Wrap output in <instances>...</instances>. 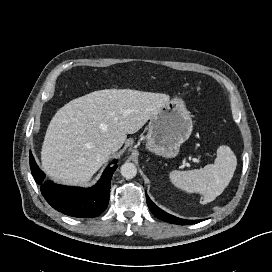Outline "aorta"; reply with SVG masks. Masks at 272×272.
<instances>
[{
    "instance_id": "1",
    "label": "aorta",
    "mask_w": 272,
    "mask_h": 272,
    "mask_svg": "<svg viewBox=\"0 0 272 272\" xmlns=\"http://www.w3.org/2000/svg\"><path fill=\"white\" fill-rule=\"evenodd\" d=\"M137 174V168L133 163H124L121 166V175L126 179H132Z\"/></svg>"
}]
</instances>
